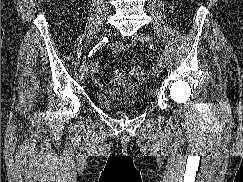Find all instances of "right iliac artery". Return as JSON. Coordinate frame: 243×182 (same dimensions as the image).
<instances>
[{"label":"right iliac artery","mask_w":243,"mask_h":182,"mask_svg":"<svg viewBox=\"0 0 243 182\" xmlns=\"http://www.w3.org/2000/svg\"><path fill=\"white\" fill-rule=\"evenodd\" d=\"M109 41L108 37H104L96 46L92 48V50L89 52L88 57H91L93 54H95L96 51L99 49H102Z\"/></svg>","instance_id":"obj_1"}]
</instances>
